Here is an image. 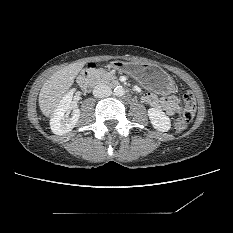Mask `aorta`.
<instances>
[{
  "instance_id": "762f6f07",
  "label": "aorta",
  "mask_w": 233,
  "mask_h": 233,
  "mask_svg": "<svg viewBox=\"0 0 233 233\" xmlns=\"http://www.w3.org/2000/svg\"><path fill=\"white\" fill-rule=\"evenodd\" d=\"M114 94L116 96L121 97V96H123L125 94V90H124V88L122 86H116L115 89H114Z\"/></svg>"
}]
</instances>
